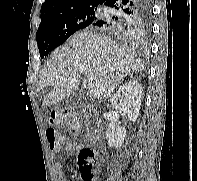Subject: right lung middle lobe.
Returning a JSON list of instances; mask_svg holds the SVG:
<instances>
[{
	"mask_svg": "<svg viewBox=\"0 0 197 181\" xmlns=\"http://www.w3.org/2000/svg\"><path fill=\"white\" fill-rule=\"evenodd\" d=\"M98 5L79 7L41 20L36 33L40 57L64 43L77 30L92 26L99 20Z\"/></svg>",
	"mask_w": 197,
	"mask_h": 181,
	"instance_id": "dd1d6c3e",
	"label": "right lung middle lobe"
}]
</instances>
